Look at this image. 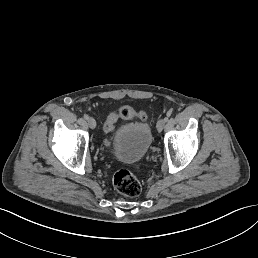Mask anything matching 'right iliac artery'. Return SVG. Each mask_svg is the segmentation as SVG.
Listing matches in <instances>:
<instances>
[{"label": "right iliac artery", "mask_w": 258, "mask_h": 258, "mask_svg": "<svg viewBox=\"0 0 258 258\" xmlns=\"http://www.w3.org/2000/svg\"><path fill=\"white\" fill-rule=\"evenodd\" d=\"M84 119L88 120L89 119V116L87 114H84Z\"/></svg>", "instance_id": "right-iliac-artery-1"}]
</instances>
